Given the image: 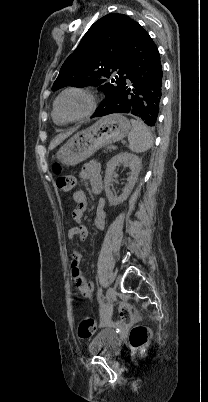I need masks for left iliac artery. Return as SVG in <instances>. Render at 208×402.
<instances>
[{
  "label": "left iliac artery",
  "instance_id": "left-iliac-artery-1",
  "mask_svg": "<svg viewBox=\"0 0 208 402\" xmlns=\"http://www.w3.org/2000/svg\"><path fill=\"white\" fill-rule=\"evenodd\" d=\"M101 296H102V289L99 288V289H98V298H99V300H100Z\"/></svg>",
  "mask_w": 208,
  "mask_h": 402
}]
</instances>
